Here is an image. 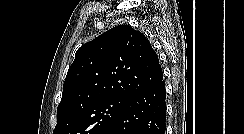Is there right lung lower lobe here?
Here are the masks:
<instances>
[{
  "mask_svg": "<svg viewBox=\"0 0 244 134\" xmlns=\"http://www.w3.org/2000/svg\"><path fill=\"white\" fill-rule=\"evenodd\" d=\"M165 81L133 94L102 134H165Z\"/></svg>",
  "mask_w": 244,
  "mask_h": 134,
  "instance_id": "1",
  "label": "right lung lower lobe"
}]
</instances>
